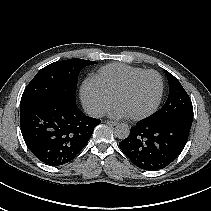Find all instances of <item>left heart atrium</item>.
Here are the masks:
<instances>
[{"mask_svg": "<svg viewBox=\"0 0 211 211\" xmlns=\"http://www.w3.org/2000/svg\"><path fill=\"white\" fill-rule=\"evenodd\" d=\"M108 114L113 118H126L128 117V114L126 111L117 103H113L109 109Z\"/></svg>", "mask_w": 211, "mask_h": 211, "instance_id": "1", "label": "left heart atrium"}]
</instances>
